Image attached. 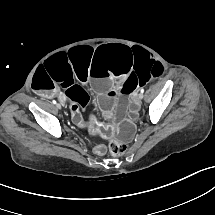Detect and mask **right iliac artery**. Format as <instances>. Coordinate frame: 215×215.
I'll list each match as a JSON object with an SVG mask.
<instances>
[{
	"mask_svg": "<svg viewBox=\"0 0 215 215\" xmlns=\"http://www.w3.org/2000/svg\"><path fill=\"white\" fill-rule=\"evenodd\" d=\"M53 104H56V101H55V100H53Z\"/></svg>",
	"mask_w": 215,
	"mask_h": 215,
	"instance_id": "1",
	"label": "right iliac artery"
}]
</instances>
